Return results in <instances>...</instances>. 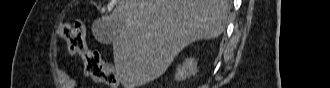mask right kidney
I'll return each instance as SVG.
<instances>
[{"mask_svg":"<svg viewBox=\"0 0 330 88\" xmlns=\"http://www.w3.org/2000/svg\"><path fill=\"white\" fill-rule=\"evenodd\" d=\"M197 72V61L194 58H187L182 65L177 67L175 73L176 81H183L187 77L194 75Z\"/></svg>","mask_w":330,"mask_h":88,"instance_id":"right-kidney-1","label":"right kidney"}]
</instances>
